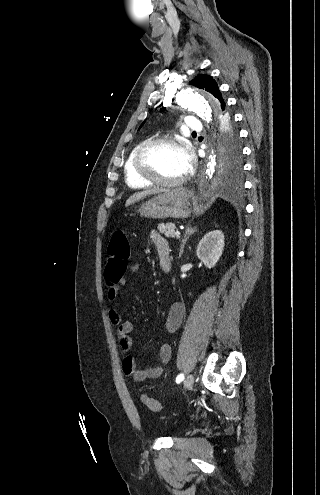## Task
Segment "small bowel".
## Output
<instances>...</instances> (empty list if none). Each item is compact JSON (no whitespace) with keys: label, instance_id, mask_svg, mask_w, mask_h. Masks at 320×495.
<instances>
[{"label":"small bowel","instance_id":"small-bowel-1","mask_svg":"<svg viewBox=\"0 0 320 495\" xmlns=\"http://www.w3.org/2000/svg\"><path fill=\"white\" fill-rule=\"evenodd\" d=\"M151 238L155 244L158 254L168 248L166 240L156 231H152ZM138 269V265H133L131 267L132 272H137ZM109 284L111 285V287L108 290V299L109 301L113 302L117 298L118 291L124 286L125 280L121 278L117 283ZM108 317L110 322L117 329L118 344L120 346V349L124 354H126L122 362L125 374L137 382L160 377L163 372V366L167 364L171 358V346L167 343H162L160 345L159 359L161 365L149 367L146 369H139L135 363L134 358L129 355L133 347V340L131 337V333L133 331V323L130 321L122 320L117 309L113 307L108 310ZM184 317V306L181 303H174L170 307L164 323L165 332L167 334H174L175 332H177L183 323Z\"/></svg>","mask_w":320,"mask_h":495}]
</instances>
